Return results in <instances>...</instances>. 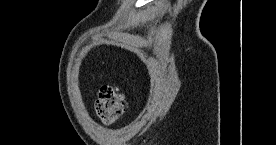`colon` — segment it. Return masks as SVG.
Returning <instances> with one entry per match:
<instances>
[{
	"instance_id": "5ec220e1",
	"label": "colon",
	"mask_w": 276,
	"mask_h": 145,
	"mask_svg": "<svg viewBox=\"0 0 276 145\" xmlns=\"http://www.w3.org/2000/svg\"><path fill=\"white\" fill-rule=\"evenodd\" d=\"M101 120L107 124L116 123L125 110V98L115 86H102L95 103Z\"/></svg>"
}]
</instances>
